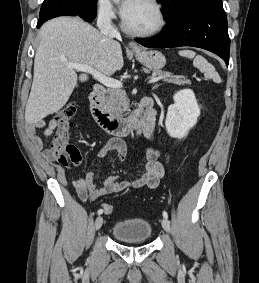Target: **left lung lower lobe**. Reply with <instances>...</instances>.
Returning a JSON list of instances; mask_svg holds the SVG:
<instances>
[{
	"label": "left lung lower lobe",
	"instance_id": "0a47b994",
	"mask_svg": "<svg viewBox=\"0 0 259 283\" xmlns=\"http://www.w3.org/2000/svg\"><path fill=\"white\" fill-rule=\"evenodd\" d=\"M149 48L193 46L211 51L229 64L230 39L222 0L198 5L152 39H136Z\"/></svg>",
	"mask_w": 259,
	"mask_h": 283
}]
</instances>
